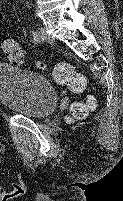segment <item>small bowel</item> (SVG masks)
<instances>
[{
    "label": "small bowel",
    "mask_w": 123,
    "mask_h": 201,
    "mask_svg": "<svg viewBox=\"0 0 123 201\" xmlns=\"http://www.w3.org/2000/svg\"><path fill=\"white\" fill-rule=\"evenodd\" d=\"M5 19H6V18H5L4 13H2V12L0 11V25L5 22Z\"/></svg>",
    "instance_id": "c3829d8e"
}]
</instances>
